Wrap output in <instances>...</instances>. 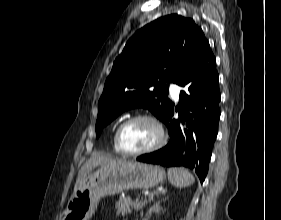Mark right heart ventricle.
<instances>
[{
	"instance_id": "obj_1",
	"label": "right heart ventricle",
	"mask_w": 281,
	"mask_h": 220,
	"mask_svg": "<svg viewBox=\"0 0 281 220\" xmlns=\"http://www.w3.org/2000/svg\"><path fill=\"white\" fill-rule=\"evenodd\" d=\"M114 137H115V135H114ZM114 137H113L112 149L115 153L120 154V152L117 150V148L115 146Z\"/></svg>"
}]
</instances>
